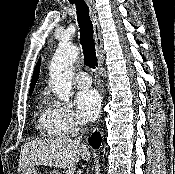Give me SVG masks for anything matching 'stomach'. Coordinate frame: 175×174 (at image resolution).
<instances>
[{
	"label": "stomach",
	"mask_w": 175,
	"mask_h": 174,
	"mask_svg": "<svg viewBox=\"0 0 175 174\" xmlns=\"http://www.w3.org/2000/svg\"><path fill=\"white\" fill-rule=\"evenodd\" d=\"M53 174H60L59 171H53ZM22 174H37L36 170L34 167H29L27 169H25Z\"/></svg>",
	"instance_id": "stomach-1"
}]
</instances>
